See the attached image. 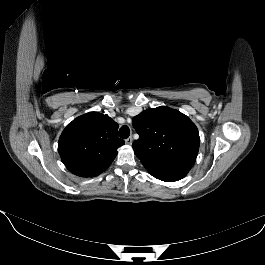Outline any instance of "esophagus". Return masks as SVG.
<instances>
[{
    "label": "esophagus",
    "instance_id": "obj_1",
    "mask_svg": "<svg viewBox=\"0 0 265 265\" xmlns=\"http://www.w3.org/2000/svg\"><path fill=\"white\" fill-rule=\"evenodd\" d=\"M126 143H127L128 145H131V144H132V137H128V138L126 139Z\"/></svg>",
    "mask_w": 265,
    "mask_h": 265
}]
</instances>
